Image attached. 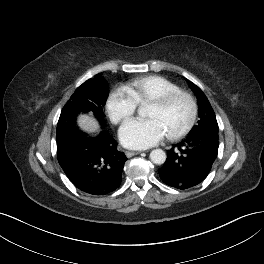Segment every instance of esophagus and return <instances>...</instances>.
<instances>
[{
  "mask_svg": "<svg viewBox=\"0 0 264 264\" xmlns=\"http://www.w3.org/2000/svg\"><path fill=\"white\" fill-rule=\"evenodd\" d=\"M141 152L140 151H126L125 154L127 157H132L134 155H138L140 154Z\"/></svg>",
  "mask_w": 264,
  "mask_h": 264,
  "instance_id": "obj_1",
  "label": "esophagus"
}]
</instances>
